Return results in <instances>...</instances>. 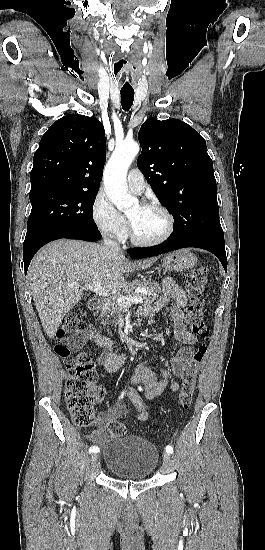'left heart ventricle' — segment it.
Segmentation results:
<instances>
[{
    "label": "left heart ventricle",
    "mask_w": 265,
    "mask_h": 550,
    "mask_svg": "<svg viewBox=\"0 0 265 550\" xmlns=\"http://www.w3.org/2000/svg\"><path fill=\"white\" fill-rule=\"evenodd\" d=\"M135 234L143 240H154L161 237L167 228V219L156 209H144L137 204L127 214Z\"/></svg>",
    "instance_id": "left-heart-ventricle-1"
}]
</instances>
